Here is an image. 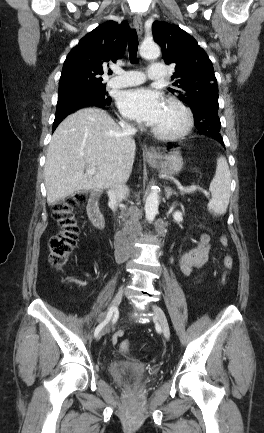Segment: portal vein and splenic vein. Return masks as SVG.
<instances>
[{"mask_svg":"<svg viewBox=\"0 0 264 433\" xmlns=\"http://www.w3.org/2000/svg\"><path fill=\"white\" fill-rule=\"evenodd\" d=\"M86 174H94V169H88L87 171H86ZM178 189L182 192V193H193V192H195L197 189H200V190H202L200 187H197V186H190V187H186V188H184V187H178ZM203 191V193L205 194V195H208V192L207 191H204V190H202Z\"/></svg>","mask_w":264,"mask_h":433,"instance_id":"1","label":"portal vein and splenic vein"}]
</instances>
